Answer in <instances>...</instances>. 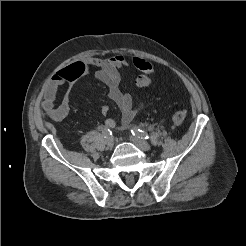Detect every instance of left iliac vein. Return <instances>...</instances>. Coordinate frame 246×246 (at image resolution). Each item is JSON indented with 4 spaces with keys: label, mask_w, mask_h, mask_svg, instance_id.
<instances>
[{
    "label": "left iliac vein",
    "mask_w": 246,
    "mask_h": 246,
    "mask_svg": "<svg viewBox=\"0 0 246 246\" xmlns=\"http://www.w3.org/2000/svg\"><path fill=\"white\" fill-rule=\"evenodd\" d=\"M130 140L142 151H149L151 145L138 136H130Z\"/></svg>",
    "instance_id": "obj_1"
}]
</instances>
